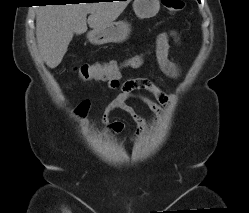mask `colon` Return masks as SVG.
<instances>
[{"mask_svg":"<svg viewBox=\"0 0 249 213\" xmlns=\"http://www.w3.org/2000/svg\"><path fill=\"white\" fill-rule=\"evenodd\" d=\"M162 5L171 13L180 12L184 7L183 0H161ZM121 66L115 61L109 63H83L74 66L75 72L83 80L110 79L120 73Z\"/></svg>","mask_w":249,"mask_h":213,"instance_id":"5ec220e1","label":"colon"}]
</instances>
